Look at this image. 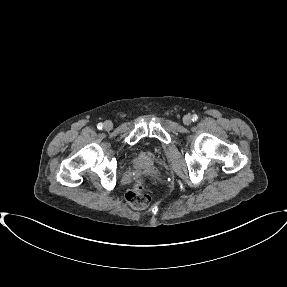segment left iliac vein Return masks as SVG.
Masks as SVG:
<instances>
[{
    "instance_id": "left-iliac-vein-1",
    "label": "left iliac vein",
    "mask_w": 287,
    "mask_h": 287,
    "mask_svg": "<svg viewBox=\"0 0 287 287\" xmlns=\"http://www.w3.org/2000/svg\"><path fill=\"white\" fill-rule=\"evenodd\" d=\"M191 122H192L191 116L185 115V116L183 117V123H184L185 125H190Z\"/></svg>"
}]
</instances>
